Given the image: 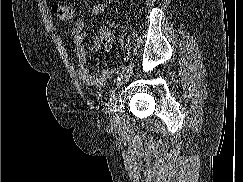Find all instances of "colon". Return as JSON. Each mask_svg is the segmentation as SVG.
<instances>
[{
    "label": "colon",
    "instance_id": "5ec220e1",
    "mask_svg": "<svg viewBox=\"0 0 243 182\" xmlns=\"http://www.w3.org/2000/svg\"><path fill=\"white\" fill-rule=\"evenodd\" d=\"M53 11L62 20H70L73 17V9L66 3L54 4Z\"/></svg>",
    "mask_w": 243,
    "mask_h": 182
}]
</instances>
